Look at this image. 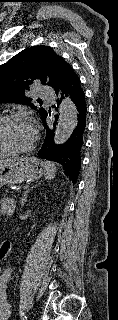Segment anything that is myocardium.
Segmentation results:
<instances>
[{
  "label": "myocardium",
  "instance_id": "f54148a6",
  "mask_svg": "<svg viewBox=\"0 0 118 320\" xmlns=\"http://www.w3.org/2000/svg\"><path fill=\"white\" fill-rule=\"evenodd\" d=\"M14 121L29 123L33 130V139L27 147L21 148V149H11L8 146H6L4 142L0 140V150H2L5 154H10V155H20V154H26L31 152L35 147V142L37 140V131L26 117L19 114H8V115L0 116V130L5 124L9 122H14Z\"/></svg>",
  "mask_w": 118,
  "mask_h": 320
}]
</instances>
